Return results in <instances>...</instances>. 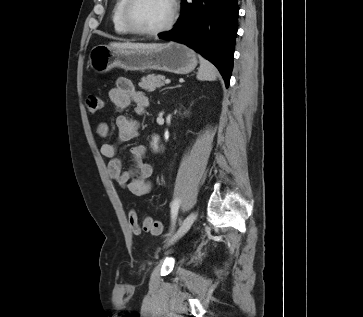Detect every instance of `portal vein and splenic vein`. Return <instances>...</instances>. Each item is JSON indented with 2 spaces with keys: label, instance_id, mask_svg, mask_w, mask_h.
I'll list each match as a JSON object with an SVG mask.
<instances>
[{
  "label": "portal vein and splenic vein",
  "instance_id": "1",
  "mask_svg": "<svg viewBox=\"0 0 363 317\" xmlns=\"http://www.w3.org/2000/svg\"><path fill=\"white\" fill-rule=\"evenodd\" d=\"M170 82H171V81H170V79H166V80H165V83H166V84H169Z\"/></svg>",
  "mask_w": 363,
  "mask_h": 317
}]
</instances>
